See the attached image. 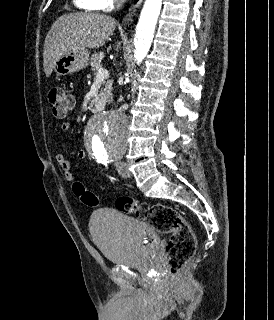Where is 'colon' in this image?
<instances>
[{
	"instance_id": "obj_1",
	"label": "colon",
	"mask_w": 274,
	"mask_h": 320,
	"mask_svg": "<svg viewBox=\"0 0 274 320\" xmlns=\"http://www.w3.org/2000/svg\"><path fill=\"white\" fill-rule=\"evenodd\" d=\"M48 100L53 115L59 119L64 118L73 105L72 98L62 87H51L48 91ZM72 190L85 204L97 203L96 197L87 191L80 181L72 183ZM115 207L120 212L135 214L161 234H170L167 246L169 270L173 274L184 270L196 251L197 240L191 225L182 218L177 209L161 202L138 204L129 197L116 199Z\"/></svg>"
}]
</instances>
